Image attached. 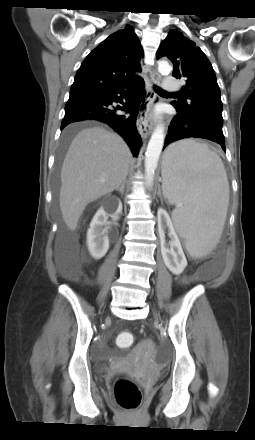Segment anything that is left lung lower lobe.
<instances>
[{
  "label": "left lung lower lobe",
  "mask_w": 255,
  "mask_h": 440,
  "mask_svg": "<svg viewBox=\"0 0 255 440\" xmlns=\"http://www.w3.org/2000/svg\"><path fill=\"white\" fill-rule=\"evenodd\" d=\"M222 126L223 120L213 116H193L178 112L169 125L164 148L174 141L193 137L214 141L226 151Z\"/></svg>",
  "instance_id": "obj_1"
}]
</instances>
